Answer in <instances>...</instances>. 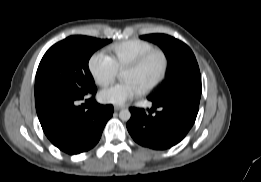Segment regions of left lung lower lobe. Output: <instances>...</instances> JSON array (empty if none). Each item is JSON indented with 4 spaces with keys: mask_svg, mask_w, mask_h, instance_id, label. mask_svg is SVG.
I'll return each mask as SVG.
<instances>
[{
    "mask_svg": "<svg viewBox=\"0 0 261 182\" xmlns=\"http://www.w3.org/2000/svg\"><path fill=\"white\" fill-rule=\"evenodd\" d=\"M201 95L187 94L164 103H154L149 113L130 108L127 129L140 145L157 150L168 149L179 143L193 126ZM161 111L152 115L156 108Z\"/></svg>",
    "mask_w": 261,
    "mask_h": 182,
    "instance_id": "left-lung-lower-lobe-1",
    "label": "left lung lower lobe"
}]
</instances>
